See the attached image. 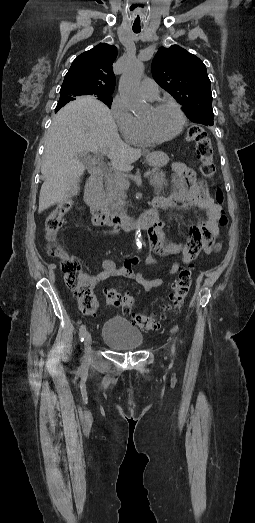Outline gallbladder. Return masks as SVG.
<instances>
[{"label":"gallbladder","mask_w":255,"mask_h":523,"mask_svg":"<svg viewBox=\"0 0 255 523\" xmlns=\"http://www.w3.org/2000/svg\"><path fill=\"white\" fill-rule=\"evenodd\" d=\"M78 158L79 160H81L82 164H84V166H87V164H89V162H91V158L90 156H87V154H78Z\"/></svg>","instance_id":"obj_1"}]
</instances>
